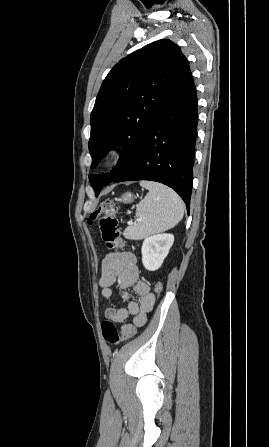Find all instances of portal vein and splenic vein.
<instances>
[{"label":"portal vein and splenic vein","instance_id":"portal-vein-and-splenic-vein-1","mask_svg":"<svg viewBox=\"0 0 269 447\" xmlns=\"http://www.w3.org/2000/svg\"><path fill=\"white\" fill-rule=\"evenodd\" d=\"M137 222H141V218H138ZM130 224H133V222H130Z\"/></svg>","mask_w":269,"mask_h":447}]
</instances>
